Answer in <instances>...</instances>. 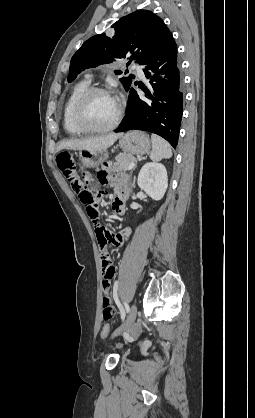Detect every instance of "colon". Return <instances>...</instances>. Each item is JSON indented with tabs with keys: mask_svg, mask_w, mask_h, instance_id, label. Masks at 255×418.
I'll list each match as a JSON object with an SVG mask.
<instances>
[{
	"mask_svg": "<svg viewBox=\"0 0 255 418\" xmlns=\"http://www.w3.org/2000/svg\"><path fill=\"white\" fill-rule=\"evenodd\" d=\"M57 164L65 178L69 181L73 191L78 194L81 202L86 206V211L90 219L92 220L96 236L99 234V229L103 227L98 219V200L100 195L93 193L94 187L93 179L90 174L84 173L80 177L73 156L63 151L57 158ZM98 178L100 176L98 175ZM109 233V232H108ZM109 333L107 325H104L101 331L102 337H106Z\"/></svg>",
	"mask_w": 255,
	"mask_h": 418,
	"instance_id": "obj_1",
	"label": "colon"
}]
</instances>
